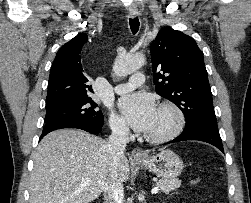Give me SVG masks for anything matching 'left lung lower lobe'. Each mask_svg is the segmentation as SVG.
Wrapping results in <instances>:
<instances>
[{
    "label": "left lung lower lobe",
    "mask_w": 251,
    "mask_h": 203,
    "mask_svg": "<svg viewBox=\"0 0 251 203\" xmlns=\"http://www.w3.org/2000/svg\"><path fill=\"white\" fill-rule=\"evenodd\" d=\"M186 140L207 142L217 147L220 151L224 152L218 129L207 126H198L190 130H184L177 138L165 144Z\"/></svg>",
    "instance_id": "0a47b994"
}]
</instances>
